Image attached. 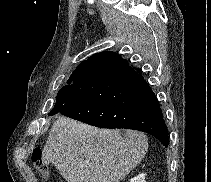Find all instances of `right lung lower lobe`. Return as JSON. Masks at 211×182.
I'll return each instance as SVG.
<instances>
[{
  "label": "right lung lower lobe",
  "mask_w": 211,
  "mask_h": 182,
  "mask_svg": "<svg viewBox=\"0 0 211 182\" xmlns=\"http://www.w3.org/2000/svg\"><path fill=\"white\" fill-rule=\"evenodd\" d=\"M103 128L147 132L168 146L160 104L142 76L114 52L97 53L85 63L75 88L56 102L53 114Z\"/></svg>",
  "instance_id": "98d812e1"
}]
</instances>
